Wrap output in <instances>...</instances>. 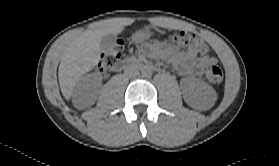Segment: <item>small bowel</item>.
Instances as JSON below:
<instances>
[{"label":"small bowel","instance_id":"obj_1","mask_svg":"<svg viewBox=\"0 0 279 166\" xmlns=\"http://www.w3.org/2000/svg\"><path fill=\"white\" fill-rule=\"evenodd\" d=\"M145 52L167 58L183 75H200L207 66L216 62L211 56H203L199 61H194L189 55L172 46L159 45L152 49L145 48Z\"/></svg>","mask_w":279,"mask_h":166}]
</instances>
